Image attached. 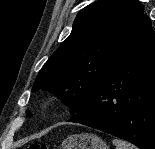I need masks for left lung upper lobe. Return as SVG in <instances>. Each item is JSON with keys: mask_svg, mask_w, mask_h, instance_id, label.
<instances>
[{"mask_svg": "<svg viewBox=\"0 0 155 149\" xmlns=\"http://www.w3.org/2000/svg\"><path fill=\"white\" fill-rule=\"evenodd\" d=\"M143 15L137 0H98L82 9L70 36L39 71L32 92L53 93L75 115L86 105L91 90L108 72ZM26 116L32 114L27 111Z\"/></svg>", "mask_w": 155, "mask_h": 149, "instance_id": "obj_1", "label": "left lung upper lobe"}]
</instances>
